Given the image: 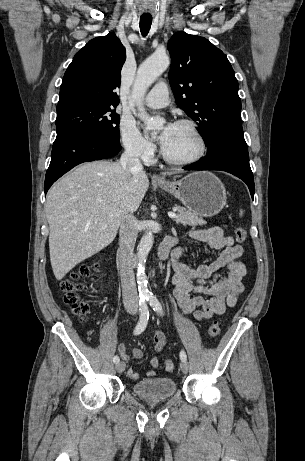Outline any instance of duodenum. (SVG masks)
<instances>
[{
	"label": "duodenum",
	"instance_id": "obj_1",
	"mask_svg": "<svg viewBox=\"0 0 305 461\" xmlns=\"http://www.w3.org/2000/svg\"><path fill=\"white\" fill-rule=\"evenodd\" d=\"M177 244V239L174 237L164 240L158 248V257L162 260L167 259L172 248Z\"/></svg>",
	"mask_w": 305,
	"mask_h": 461
}]
</instances>
